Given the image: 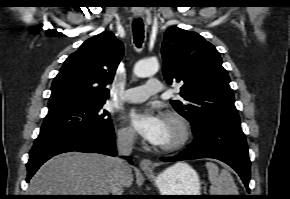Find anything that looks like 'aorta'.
<instances>
[{
    "mask_svg": "<svg viewBox=\"0 0 290 199\" xmlns=\"http://www.w3.org/2000/svg\"><path fill=\"white\" fill-rule=\"evenodd\" d=\"M159 70V63L156 59L141 60L134 66V74L137 77H150L155 75Z\"/></svg>",
    "mask_w": 290,
    "mask_h": 199,
    "instance_id": "762f6f07",
    "label": "aorta"
}]
</instances>
